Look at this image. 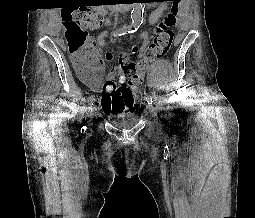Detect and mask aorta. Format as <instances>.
<instances>
[{
	"label": "aorta",
	"mask_w": 255,
	"mask_h": 218,
	"mask_svg": "<svg viewBox=\"0 0 255 218\" xmlns=\"http://www.w3.org/2000/svg\"><path fill=\"white\" fill-rule=\"evenodd\" d=\"M143 3H132L131 19L132 23L129 26L130 29H138L143 22Z\"/></svg>",
	"instance_id": "obj_1"
}]
</instances>
